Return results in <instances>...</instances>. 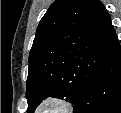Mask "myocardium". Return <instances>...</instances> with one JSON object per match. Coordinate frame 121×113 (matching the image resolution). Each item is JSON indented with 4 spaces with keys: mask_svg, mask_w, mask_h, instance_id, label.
I'll use <instances>...</instances> for the list:
<instances>
[{
    "mask_svg": "<svg viewBox=\"0 0 121 113\" xmlns=\"http://www.w3.org/2000/svg\"><path fill=\"white\" fill-rule=\"evenodd\" d=\"M47 105L59 106L60 110L57 113H67L71 110V104L65 98L59 96H47L38 102L35 108V113H42V108Z\"/></svg>",
    "mask_w": 121,
    "mask_h": 113,
    "instance_id": "myocardium-1",
    "label": "myocardium"
}]
</instances>
